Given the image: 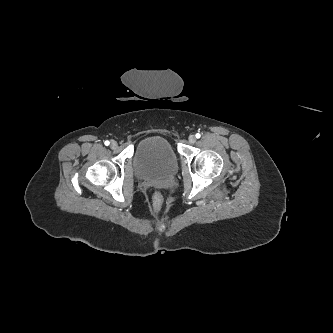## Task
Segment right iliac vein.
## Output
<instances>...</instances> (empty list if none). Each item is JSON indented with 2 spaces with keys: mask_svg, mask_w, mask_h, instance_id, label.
<instances>
[{
  "mask_svg": "<svg viewBox=\"0 0 333 333\" xmlns=\"http://www.w3.org/2000/svg\"><path fill=\"white\" fill-rule=\"evenodd\" d=\"M110 146H111L112 149H116V148H117V142L113 140V141L111 142V145H110Z\"/></svg>",
  "mask_w": 333,
  "mask_h": 333,
  "instance_id": "right-iliac-vein-1",
  "label": "right iliac vein"
}]
</instances>
